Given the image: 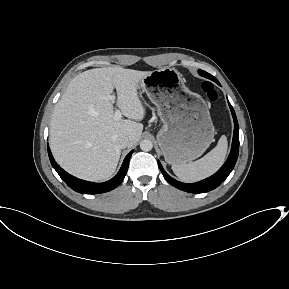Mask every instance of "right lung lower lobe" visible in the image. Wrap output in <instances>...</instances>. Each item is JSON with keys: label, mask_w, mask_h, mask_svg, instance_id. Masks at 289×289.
Wrapping results in <instances>:
<instances>
[{"label": "right lung lower lobe", "mask_w": 289, "mask_h": 289, "mask_svg": "<svg viewBox=\"0 0 289 289\" xmlns=\"http://www.w3.org/2000/svg\"><path fill=\"white\" fill-rule=\"evenodd\" d=\"M133 151H131L124 159L123 164L116 174L111 180L103 183H93L78 179L66 171H64L54 160L50 148L48 147V155L50 162L62 180L74 191L83 194H99L113 190L116 188L124 179L129 165V160Z\"/></svg>", "instance_id": "1"}]
</instances>
